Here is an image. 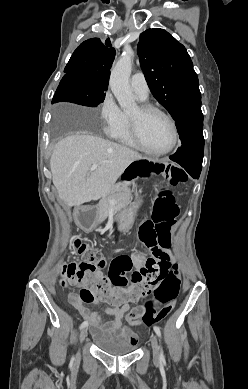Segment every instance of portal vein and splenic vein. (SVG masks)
<instances>
[{
  "label": "portal vein and splenic vein",
  "mask_w": 248,
  "mask_h": 389,
  "mask_svg": "<svg viewBox=\"0 0 248 389\" xmlns=\"http://www.w3.org/2000/svg\"><path fill=\"white\" fill-rule=\"evenodd\" d=\"M98 166H99V164H93V165L91 166V168H90V172L94 171ZM115 203H116V202H115L114 200H110V204H111L112 206H114Z\"/></svg>",
  "instance_id": "18ae733b"
}]
</instances>
